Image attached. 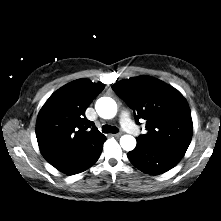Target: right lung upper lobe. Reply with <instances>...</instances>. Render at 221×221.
Listing matches in <instances>:
<instances>
[{"mask_svg":"<svg viewBox=\"0 0 221 221\" xmlns=\"http://www.w3.org/2000/svg\"><path fill=\"white\" fill-rule=\"evenodd\" d=\"M103 89L87 79L75 80L54 92L38 114L40 151L67 175L81 172L101 154L106 138L86 118L85 110Z\"/></svg>","mask_w":221,"mask_h":221,"instance_id":"cb5924a9","label":"right lung upper lobe"}]
</instances>
